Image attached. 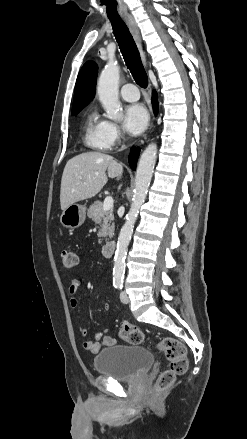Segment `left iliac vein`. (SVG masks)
<instances>
[{"label":"left iliac vein","mask_w":247,"mask_h":439,"mask_svg":"<svg viewBox=\"0 0 247 439\" xmlns=\"http://www.w3.org/2000/svg\"><path fill=\"white\" fill-rule=\"evenodd\" d=\"M120 300L124 304H127L129 302V298L124 291H121V293H120Z\"/></svg>","instance_id":"1"}]
</instances>
